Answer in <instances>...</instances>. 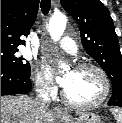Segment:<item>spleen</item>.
Wrapping results in <instances>:
<instances>
[{
  "instance_id": "3e777b00",
  "label": "spleen",
  "mask_w": 122,
  "mask_h": 123,
  "mask_svg": "<svg viewBox=\"0 0 122 123\" xmlns=\"http://www.w3.org/2000/svg\"><path fill=\"white\" fill-rule=\"evenodd\" d=\"M111 112L116 119V123H122V110L118 108H112Z\"/></svg>"
}]
</instances>
